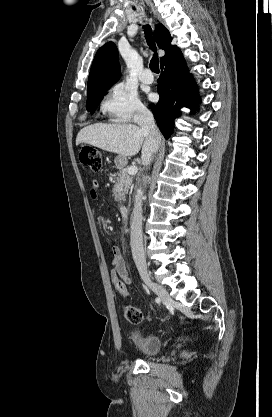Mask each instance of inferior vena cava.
<instances>
[{"mask_svg":"<svg viewBox=\"0 0 272 417\" xmlns=\"http://www.w3.org/2000/svg\"><path fill=\"white\" fill-rule=\"evenodd\" d=\"M134 120L142 130L148 132L150 136L159 138L160 132L155 124L153 114L145 107L138 109ZM158 149V148H157ZM142 196L143 192L139 190L135 197L131 223V249L135 265L141 276H147V264L143 248L142 234Z\"/></svg>","mask_w":272,"mask_h":417,"instance_id":"obj_1","label":"inferior vena cava"}]
</instances>
